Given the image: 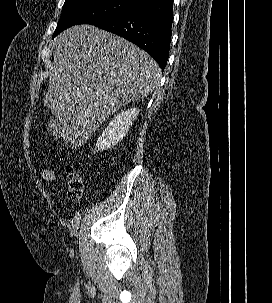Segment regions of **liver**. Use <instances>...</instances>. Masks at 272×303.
Returning a JSON list of instances; mask_svg holds the SVG:
<instances>
[{"label": "liver", "mask_w": 272, "mask_h": 303, "mask_svg": "<svg viewBox=\"0 0 272 303\" xmlns=\"http://www.w3.org/2000/svg\"><path fill=\"white\" fill-rule=\"evenodd\" d=\"M54 67L43 102L56 131L78 148L122 106L147 97L161 77L150 55L93 25H76L55 39Z\"/></svg>", "instance_id": "1"}]
</instances>
